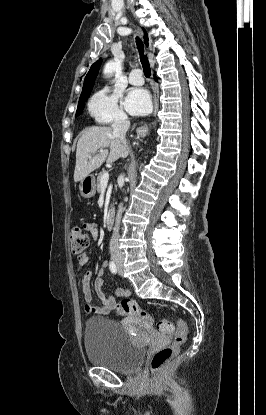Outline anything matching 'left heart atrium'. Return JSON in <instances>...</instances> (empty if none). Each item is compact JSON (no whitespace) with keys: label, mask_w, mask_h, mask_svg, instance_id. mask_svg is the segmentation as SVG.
<instances>
[{"label":"left heart atrium","mask_w":266,"mask_h":415,"mask_svg":"<svg viewBox=\"0 0 266 415\" xmlns=\"http://www.w3.org/2000/svg\"><path fill=\"white\" fill-rule=\"evenodd\" d=\"M124 105L132 114H145L151 108L150 96L144 89H132L128 93Z\"/></svg>","instance_id":"obj_1"}]
</instances>
